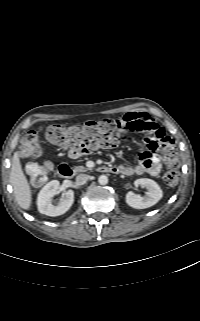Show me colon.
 Here are the masks:
<instances>
[{"label": "colon", "instance_id": "5ec220e1", "mask_svg": "<svg viewBox=\"0 0 200 321\" xmlns=\"http://www.w3.org/2000/svg\"><path fill=\"white\" fill-rule=\"evenodd\" d=\"M130 130L129 124L120 119H103L74 125H51L46 129L47 140L55 145L69 148L73 154H85L97 148H113L119 145L124 134ZM39 135L36 131L28 132L22 139L21 154L25 158H35L40 154ZM167 171L164 181L174 186L179 180V157L177 152L168 148L164 153ZM52 164L49 161L33 163L28 168L30 179L35 184H42Z\"/></svg>", "mask_w": 200, "mask_h": 321}]
</instances>
